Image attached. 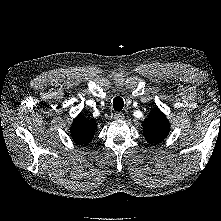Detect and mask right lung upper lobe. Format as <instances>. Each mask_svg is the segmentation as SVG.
Segmentation results:
<instances>
[{
	"label": "right lung upper lobe",
	"mask_w": 221,
	"mask_h": 221,
	"mask_svg": "<svg viewBox=\"0 0 221 221\" xmlns=\"http://www.w3.org/2000/svg\"><path fill=\"white\" fill-rule=\"evenodd\" d=\"M96 126L95 120L86 119L83 115L79 114L74 119L70 129L75 143L87 145L94 137Z\"/></svg>",
	"instance_id": "obj_1"
}]
</instances>
